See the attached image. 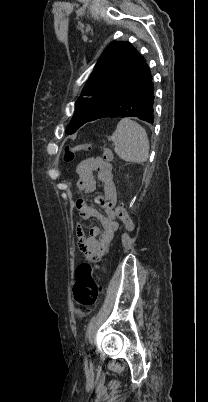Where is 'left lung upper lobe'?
Here are the masks:
<instances>
[{"instance_id": "obj_1", "label": "left lung upper lobe", "mask_w": 208, "mask_h": 402, "mask_svg": "<svg viewBox=\"0 0 208 402\" xmlns=\"http://www.w3.org/2000/svg\"><path fill=\"white\" fill-rule=\"evenodd\" d=\"M145 62L129 42H112L100 56L76 101L66 133L72 134L85 123L98 119L119 99Z\"/></svg>"}]
</instances>
